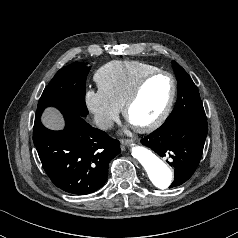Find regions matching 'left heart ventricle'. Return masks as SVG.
I'll return each instance as SVG.
<instances>
[{
	"label": "left heart ventricle",
	"mask_w": 238,
	"mask_h": 238,
	"mask_svg": "<svg viewBox=\"0 0 238 238\" xmlns=\"http://www.w3.org/2000/svg\"><path fill=\"white\" fill-rule=\"evenodd\" d=\"M170 91V81L166 76L148 81L129 111V122L134 126H143L155 120L164 109Z\"/></svg>",
	"instance_id": "obj_1"
}]
</instances>
